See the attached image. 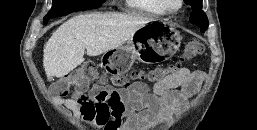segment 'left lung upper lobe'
Segmentation results:
<instances>
[{
	"label": "left lung upper lobe",
	"instance_id": "left-lung-upper-lobe-1",
	"mask_svg": "<svg viewBox=\"0 0 257 130\" xmlns=\"http://www.w3.org/2000/svg\"><path fill=\"white\" fill-rule=\"evenodd\" d=\"M193 9L190 16V22L201 28L204 32L208 27V19L206 14L202 11V0H185Z\"/></svg>",
	"mask_w": 257,
	"mask_h": 130
}]
</instances>
